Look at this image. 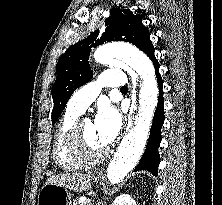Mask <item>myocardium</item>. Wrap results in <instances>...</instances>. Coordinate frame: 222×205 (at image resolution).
Returning a JSON list of instances; mask_svg holds the SVG:
<instances>
[{
  "instance_id": "1",
  "label": "myocardium",
  "mask_w": 222,
  "mask_h": 205,
  "mask_svg": "<svg viewBox=\"0 0 222 205\" xmlns=\"http://www.w3.org/2000/svg\"><path fill=\"white\" fill-rule=\"evenodd\" d=\"M87 119L77 120L68 135V147L70 154L82 164H96L103 161L109 154L105 148L97 154H90L85 148L82 136V124Z\"/></svg>"
}]
</instances>
